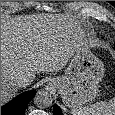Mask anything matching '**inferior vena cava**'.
I'll return each mask as SVG.
<instances>
[{
  "instance_id": "inferior-vena-cava-1",
  "label": "inferior vena cava",
  "mask_w": 115,
  "mask_h": 115,
  "mask_svg": "<svg viewBox=\"0 0 115 115\" xmlns=\"http://www.w3.org/2000/svg\"><path fill=\"white\" fill-rule=\"evenodd\" d=\"M14 84L16 87L22 88V87H25L26 85H28V82L25 77H18V78H16Z\"/></svg>"
}]
</instances>
